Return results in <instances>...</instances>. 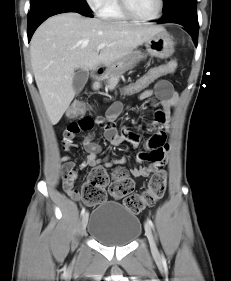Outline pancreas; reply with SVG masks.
<instances>
[{"label": "pancreas", "instance_id": "pancreas-1", "mask_svg": "<svg viewBox=\"0 0 231 281\" xmlns=\"http://www.w3.org/2000/svg\"><path fill=\"white\" fill-rule=\"evenodd\" d=\"M123 72H110L108 71L102 78L101 80H106L107 81V85L106 87L109 90H113L115 89V87L117 86L119 79L121 77V74ZM99 88H101V84L99 81L95 82L93 84V89L94 90H98Z\"/></svg>", "mask_w": 231, "mask_h": 281}]
</instances>
